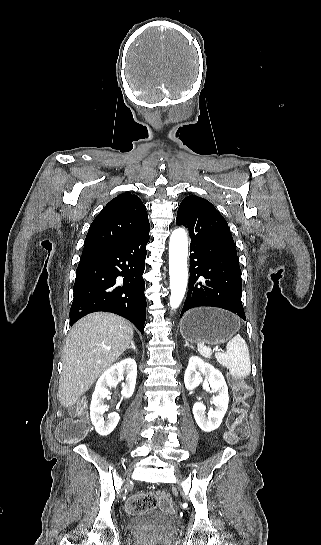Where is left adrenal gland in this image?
Returning <instances> with one entry per match:
<instances>
[{
  "mask_svg": "<svg viewBox=\"0 0 321 545\" xmlns=\"http://www.w3.org/2000/svg\"><path fill=\"white\" fill-rule=\"evenodd\" d=\"M184 347H189V343H187V341H186Z\"/></svg>",
  "mask_w": 321,
  "mask_h": 545,
  "instance_id": "a2214340",
  "label": "left adrenal gland"
}]
</instances>
